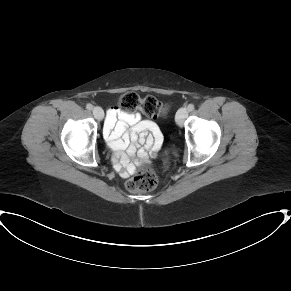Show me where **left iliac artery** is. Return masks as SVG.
Masks as SVG:
<instances>
[{"instance_id":"1","label":"left iliac artery","mask_w":291,"mask_h":291,"mask_svg":"<svg viewBox=\"0 0 291 291\" xmlns=\"http://www.w3.org/2000/svg\"><path fill=\"white\" fill-rule=\"evenodd\" d=\"M194 104H189L188 105V107H187V109L189 110V111H193L194 110Z\"/></svg>"}]
</instances>
